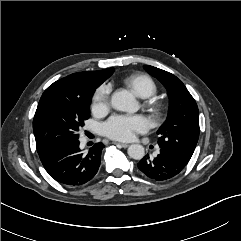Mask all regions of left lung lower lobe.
Here are the masks:
<instances>
[{
	"label": "left lung lower lobe",
	"mask_w": 241,
	"mask_h": 241,
	"mask_svg": "<svg viewBox=\"0 0 241 241\" xmlns=\"http://www.w3.org/2000/svg\"><path fill=\"white\" fill-rule=\"evenodd\" d=\"M137 165L144 175L156 181L173 178L186 166L163 149L155 158H150L149 155L143 157Z\"/></svg>",
	"instance_id": "1"
}]
</instances>
